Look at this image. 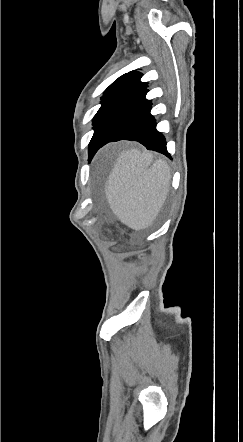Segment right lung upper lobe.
Masks as SVG:
<instances>
[{
	"label": "right lung upper lobe",
	"instance_id": "obj_1",
	"mask_svg": "<svg viewBox=\"0 0 243 442\" xmlns=\"http://www.w3.org/2000/svg\"><path fill=\"white\" fill-rule=\"evenodd\" d=\"M142 74L137 71L128 72L115 80L104 92L103 97L125 98L135 91L144 88L146 83L140 81Z\"/></svg>",
	"mask_w": 243,
	"mask_h": 442
}]
</instances>
